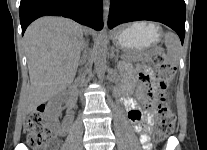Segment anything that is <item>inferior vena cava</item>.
Returning <instances> with one entry per match:
<instances>
[{
  "label": "inferior vena cava",
  "instance_id": "602c4592",
  "mask_svg": "<svg viewBox=\"0 0 207 150\" xmlns=\"http://www.w3.org/2000/svg\"><path fill=\"white\" fill-rule=\"evenodd\" d=\"M82 64V63H81ZM86 73L85 72H79V75L76 79V83L79 85V86H84L86 85Z\"/></svg>",
  "mask_w": 207,
  "mask_h": 150
}]
</instances>
